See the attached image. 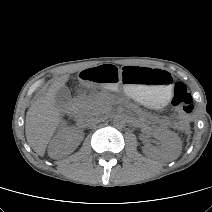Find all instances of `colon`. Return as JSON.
<instances>
[{
    "mask_svg": "<svg viewBox=\"0 0 212 212\" xmlns=\"http://www.w3.org/2000/svg\"><path fill=\"white\" fill-rule=\"evenodd\" d=\"M172 104L181 116H188L194 110L193 98L183 83H176L173 90Z\"/></svg>",
    "mask_w": 212,
    "mask_h": 212,
    "instance_id": "obj_1",
    "label": "colon"
}]
</instances>
